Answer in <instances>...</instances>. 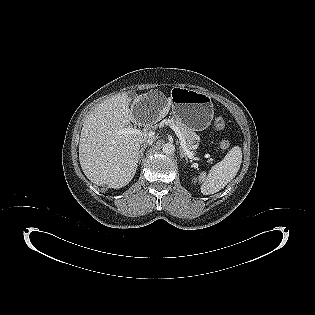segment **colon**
Masks as SVG:
<instances>
[{
  "mask_svg": "<svg viewBox=\"0 0 315 315\" xmlns=\"http://www.w3.org/2000/svg\"><path fill=\"white\" fill-rule=\"evenodd\" d=\"M214 126L218 131H222L226 127V121L223 118L219 117L215 120ZM228 146H229V143L227 141H223L221 143V147L224 149L228 148Z\"/></svg>",
  "mask_w": 315,
  "mask_h": 315,
  "instance_id": "1",
  "label": "colon"
}]
</instances>
